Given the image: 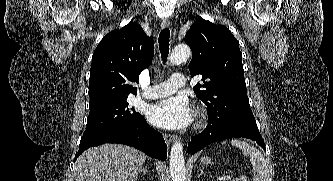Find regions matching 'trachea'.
I'll return each instance as SVG.
<instances>
[{"label": "trachea", "mask_w": 333, "mask_h": 181, "mask_svg": "<svg viewBox=\"0 0 333 181\" xmlns=\"http://www.w3.org/2000/svg\"><path fill=\"white\" fill-rule=\"evenodd\" d=\"M169 38H170V31L169 28L163 29L159 34V50L161 53V57L163 62H166V58L169 54Z\"/></svg>", "instance_id": "obj_1"}]
</instances>
